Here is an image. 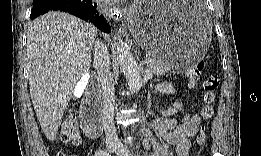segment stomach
Masks as SVG:
<instances>
[{"label": "stomach", "mask_w": 261, "mask_h": 156, "mask_svg": "<svg viewBox=\"0 0 261 156\" xmlns=\"http://www.w3.org/2000/svg\"><path fill=\"white\" fill-rule=\"evenodd\" d=\"M126 19L139 45L171 71L192 68L210 44L211 22L195 2H136Z\"/></svg>", "instance_id": "obj_1"}]
</instances>
